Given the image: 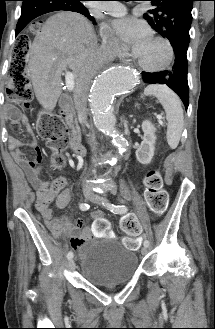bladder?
Masks as SVG:
<instances>
[{
    "instance_id": "1",
    "label": "bladder",
    "mask_w": 215,
    "mask_h": 329,
    "mask_svg": "<svg viewBox=\"0 0 215 329\" xmlns=\"http://www.w3.org/2000/svg\"><path fill=\"white\" fill-rule=\"evenodd\" d=\"M79 253V275L94 286L129 281L138 270L137 254L115 238L86 242Z\"/></svg>"
}]
</instances>
